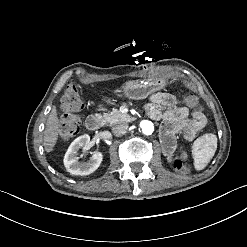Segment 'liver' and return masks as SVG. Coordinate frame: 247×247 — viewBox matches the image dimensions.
<instances>
[{
  "label": "liver",
  "mask_w": 247,
  "mask_h": 247,
  "mask_svg": "<svg viewBox=\"0 0 247 247\" xmlns=\"http://www.w3.org/2000/svg\"><path fill=\"white\" fill-rule=\"evenodd\" d=\"M59 119L57 117L56 107L53 106L47 119L44 131V148L46 152H51L58 139Z\"/></svg>",
  "instance_id": "obj_1"
}]
</instances>
